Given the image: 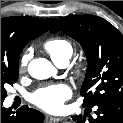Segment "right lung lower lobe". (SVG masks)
<instances>
[{"label": "right lung lower lobe", "mask_w": 123, "mask_h": 123, "mask_svg": "<svg viewBox=\"0 0 123 123\" xmlns=\"http://www.w3.org/2000/svg\"><path fill=\"white\" fill-rule=\"evenodd\" d=\"M44 115L28 106H22L16 112L3 107L1 101V123H43Z\"/></svg>", "instance_id": "obj_1"}]
</instances>
